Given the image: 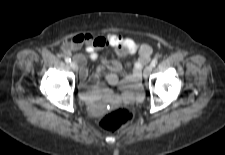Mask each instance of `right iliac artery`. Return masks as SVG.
<instances>
[{
  "mask_svg": "<svg viewBox=\"0 0 225 155\" xmlns=\"http://www.w3.org/2000/svg\"><path fill=\"white\" fill-rule=\"evenodd\" d=\"M65 62L66 63H71V58L70 57H65Z\"/></svg>",
  "mask_w": 225,
  "mask_h": 155,
  "instance_id": "1",
  "label": "right iliac artery"
}]
</instances>
